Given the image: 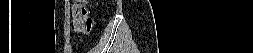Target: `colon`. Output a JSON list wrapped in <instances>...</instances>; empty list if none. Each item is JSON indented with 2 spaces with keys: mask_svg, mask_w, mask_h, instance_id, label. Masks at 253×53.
Returning a JSON list of instances; mask_svg holds the SVG:
<instances>
[{
  "mask_svg": "<svg viewBox=\"0 0 253 53\" xmlns=\"http://www.w3.org/2000/svg\"><path fill=\"white\" fill-rule=\"evenodd\" d=\"M90 11L85 2H78L73 7V23L76 30L81 32L90 31L92 27V19L89 16Z\"/></svg>",
  "mask_w": 253,
  "mask_h": 53,
  "instance_id": "1",
  "label": "colon"
}]
</instances>
